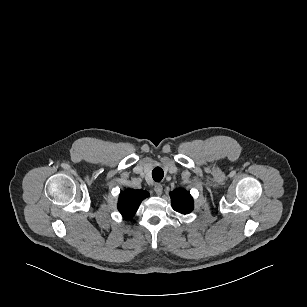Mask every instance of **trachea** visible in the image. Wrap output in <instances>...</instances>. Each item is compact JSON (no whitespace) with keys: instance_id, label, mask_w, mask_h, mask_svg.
Masks as SVG:
<instances>
[{"instance_id":"1","label":"trachea","mask_w":307,"mask_h":307,"mask_svg":"<svg viewBox=\"0 0 307 307\" xmlns=\"http://www.w3.org/2000/svg\"><path fill=\"white\" fill-rule=\"evenodd\" d=\"M164 176V172L160 167H156L152 171V177L154 181L160 182Z\"/></svg>"}]
</instances>
